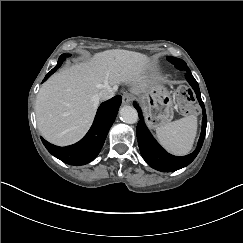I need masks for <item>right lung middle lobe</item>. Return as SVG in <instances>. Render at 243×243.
<instances>
[{"label":"right lung middle lobe","mask_w":243,"mask_h":243,"mask_svg":"<svg viewBox=\"0 0 243 243\" xmlns=\"http://www.w3.org/2000/svg\"><path fill=\"white\" fill-rule=\"evenodd\" d=\"M70 56V54L66 55V54H63L59 57L58 59V63L57 65L46 75V77L44 78L43 81H45L51 74H53L61 65H62V62L64 61V59L66 57Z\"/></svg>","instance_id":"obj_1"}]
</instances>
